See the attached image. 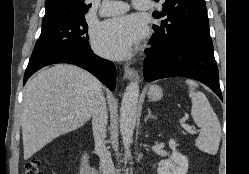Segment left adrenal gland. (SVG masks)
<instances>
[{"label":"left adrenal gland","mask_w":249,"mask_h":174,"mask_svg":"<svg viewBox=\"0 0 249 174\" xmlns=\"http://www.w3.org/2000/svg\"><path fill=\"white\" fill-rule=\"evenodd\" d=\"M148 119H156L154 115L151 114V110L148 108V115L145 117V122L148 120Z\"/></svg>","instance_id":"obj_1"}]
</instances>
